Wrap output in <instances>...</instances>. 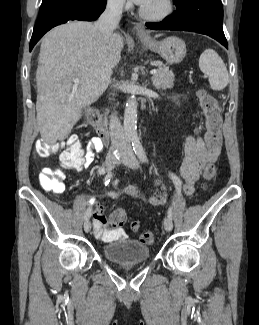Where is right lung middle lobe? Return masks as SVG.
Instances as JSON below:
<instances>
[{
	"instance_id": "obj_1",
	"label": "right lung middle lobe",
	"mask_w": 259,
	"mask_h": 325,
	"mask_svg": "<svg viewBox=\"0 0 259 325\" xmlns=\"http://www.w3.org/2000/svg\"><path fill=\"white\" fill-rule=\"evenodd\" d=\"M53 1H55V0H43L42 1V4H41V8L44 7V6H46L49 3L53 2Z\"/></svg>"
}]
</instances>
